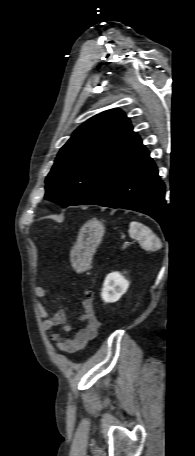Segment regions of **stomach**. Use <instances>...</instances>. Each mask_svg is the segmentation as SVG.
Instances as JSON below:
<instances>
[{
	"label": "stomach",
	"mask_w": 195,
	"mask_h": 456,
	"mask_svg": "<svg viewBox=\"0 0 195 456\" xmlns=\"http://www.w3.org/2000/svg\"><path fill=\"white\" fill-rule=\"evenodd\" d=\"M104 232L103 223L95 218L87 221L80 228L76 243L71 250V261L77 271H84L90 267Z\"/></svg>",
	"instance_id": "0dacf381"
}]
</instances>
